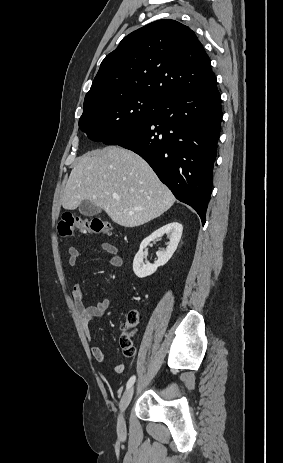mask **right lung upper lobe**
Segmentation results:
<instances>
[{
    "label": "right lung upper lobe",
    "instance_id": "1",
    "mask_svg": "<svg viewBox=\"0 0 283 463\" xmlns=\"http://www.w3.org/2000/svg\"><path fill=\"white\" fill-rule=\"evenodd\" d=\"M215 82L210 59L194 31L163 19L130 33L104 58L84 103L114 94L159 102Z\"/></svg>",
    "mask_w": 283,
    "mask_h": 463
}]
</instances>
